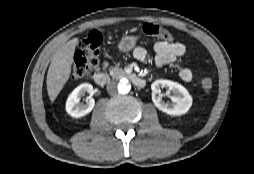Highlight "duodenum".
<instances>
[{
    "instance_id": "1",
    "label": "duodenum",
    "mask_w": 254,
    "mask_h": 174,
    "mask_svg": "<svg viewBox=\"0 0 254 174\" xmlns=\"http://www.w3.org/2000/svg\"><path fill=\"white\" fill-rule=\"evenodd\" d=\"M125 76L128 77L131 80V82L139 88H143L146 85V81L139 76H136L132 73H125ZM94 80L97 85L104 86L108 83L109 76L106 73L97 72L94 75Z\"/></svg>"
}]
</instances>
